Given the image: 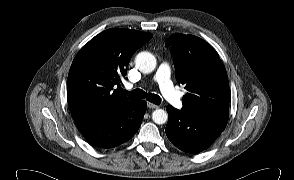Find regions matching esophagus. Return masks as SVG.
<instances>
[{"label":"esophagus","mask_w":294,"mask_h":180,"mask_svg":"<svg viewBox=\"0 0 294 180\" xmlns=\"http://www.w3.org/2000/svg\"><path fill=\"white\" fill-rule=\"evenodd\" d=\"M148 107L150 108V109H157V108H159V106L158 105H156V104H153V103H148Z\"/></svg>","instance_id":"esophagus-1"}]
</instances>
